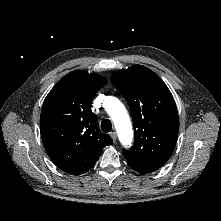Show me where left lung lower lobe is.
<instances>
[{
    "mask_svg": "<svg viewBox=\"0 0 221 221\" xmlns=\"http://www.w3.org/2000/svg\"><path fill=\"white\" fill-rule=\"evenodd\" d=\"M128 165H129L132 169H134V170H136L137 172H140V173H142V174L149 173V172H146V171H144V170H141V169H139V168H137V167H135V166H133V165H131V164H129V163H128Z\"/></svg>",
    "mask_w": 221,
    "mask_h": 221,
    "instance_id": "obj_1",
    "label": "left lung lower lobe"
}]
</instances>
